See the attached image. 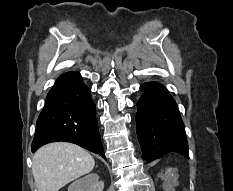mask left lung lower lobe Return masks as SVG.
Masks as SVG:
<instances>
[{
    "instance_id": "left-lung-lower-lobe-1",
    "label": "left lung lower lobe",
    "mask_w": 233,
    "mask_h": 191,
    "mask_svg": "<svg viewBox=\"0 0 233 191\" xmlns=\"http://www.w3.org/2000/svg\"><path fill=\"white\" fill-rule=\"evenodd\" d=\"M143 95L137 102V135L142 158L147 162L166 154L189 158L184 124L175 100L157 82L144 83Z\"/></svg>"
}]
</instances>
